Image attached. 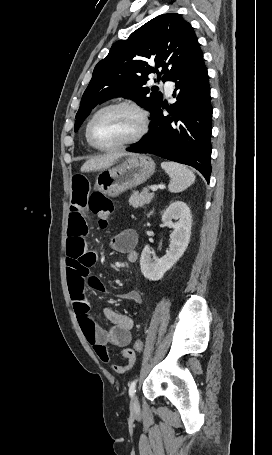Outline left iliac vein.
<instances>
[{
	"label": "left iliac vein",
	"instance_id": "1",
	"mask_svg": "<svg viewBox=\"0 0 272 455\" xmlns=\"http://www.w3.org/2000/svg\"><path fill=\"white\" fill-rule=\"evenodd\" d=\"M130 408L133 413H136L139 411L140 406H139L138 397L136 395L133 396V398L131 400Z\"/></svg>",
	"mask_w": 272,
	"mask_h": 455
}]
</instances>
